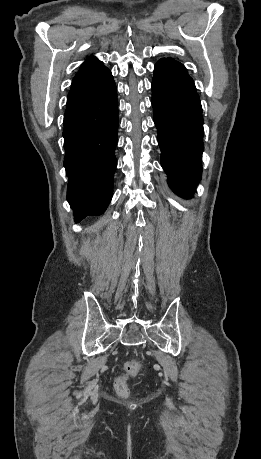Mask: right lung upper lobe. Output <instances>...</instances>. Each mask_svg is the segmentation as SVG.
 Instances as JSON below:
<instances>
[{"label":"right lung upper lobe","instance_id":"1","mask_svg":"<svg viewBox=\"0 0 261 459\" xmlns=\"http://www.w3.org/2000/svg\"><path fill=\"white\" fill-rule=\"evenodd\" d=\"M111 82H113V76L109 69L95 57L88 58L73 78L66 109L92 98Z\"/></svg>","mask_w":261,"mask_h":459}]
</instances>
